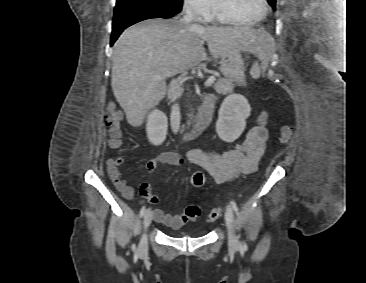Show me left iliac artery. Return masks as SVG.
Segmentation results:
<instances>
[{"label": "left iliac artery", "mask_w": 366, "mask_h": 283, "mask_svg": "<svg viewBox=\"0 0 366 283\" xmlns=\"http://www.w3.org/2000/svg\"><path fill=\"white\" fill-rule=\"evenodd\" d=\"M230 205H231L232 209L235 211V213L238 215L239 212H238V207H237L236 202L234 200H231Z\"/></svg>", "instance_id": "obj_1"}]
</instances>
